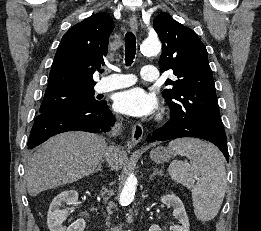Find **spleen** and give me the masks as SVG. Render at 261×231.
<instances>
[{"instance_id": "1", "label": "spleen", "mask_w": 261, "mask_h": 231, "mask_svg": "<svg viewBox=\"0 0 261 231\" xmlns=\"http://www.w3.org/2000/svg\"><path fill=\"white\" fill-rule=\"evenodd\" d=\"M169 148L186 156L191 164L173 161L168 168L171 178L191 190L196 217L212 220L220 210L227 186L224 157L213 145L195 138L172 140ZM196 177L199 182L194 184Z\"/></svg>"}]
</instances>
